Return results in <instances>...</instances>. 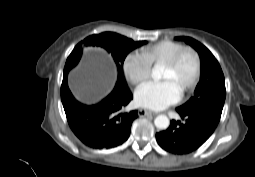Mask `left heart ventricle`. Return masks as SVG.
Here are the masks:
<instances>
[{
  "mask_svg": "<svg viewBox=\"0 0 255 177\" xmlns=\"http://www.w3.org/2000/svg\"><path fill=\"white\" fill-rule=\"evenodd\" d=\"M195 72V59L187 53L181 59L179 65L174 70L162 67L160 77L174 83L179 91L184 89L191 81Z\"/></svg>",
  "mask_w": 255,
  "mask_h": 177,
  "instance_id": "1",
  "label": "left heart ventricle"
}]
</instances>
